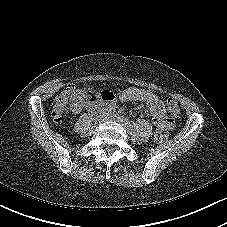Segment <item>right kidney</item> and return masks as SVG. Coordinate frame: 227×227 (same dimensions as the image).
Masks as SVG:
<instances>
[{"instance_id":"right-kidney-1","label":"right kidney","mask_w":227,"mask_h":227,"mask_svg":"<svg viewBox=\"0 0 227 227\" xmlns=\"http://www.w3.org/2000/svg\"><path fill=\"white\" fill-rule=\"evenodd\" d=\"M72 107H74V109L77 107V100L75 98L73 99Z\"/></svg>"}]
</instances>
